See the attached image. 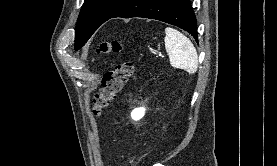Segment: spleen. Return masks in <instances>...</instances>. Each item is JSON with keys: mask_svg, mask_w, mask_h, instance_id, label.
I'll list each match as a JSON object with an SVG mask.
<instances>
[{"mask_svg": "<svg viewBox=\"0 0 277 166\" xmlns=\"http://www.w3.org/2000/svg\"><path fill=\"white\" fill-rule=\"evenodd\" d=\"M165 34V49L171 66L190 74L195 73L198 69V54L190 39L171 27L165 29Z\"/></svg>", "mask_w": 277, "mask_h": 166, "instance_id": "1", "label": "spleen"}]
</instances>
